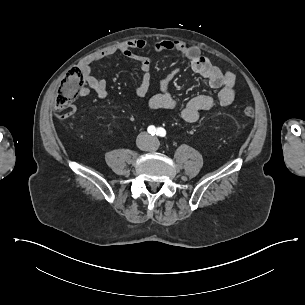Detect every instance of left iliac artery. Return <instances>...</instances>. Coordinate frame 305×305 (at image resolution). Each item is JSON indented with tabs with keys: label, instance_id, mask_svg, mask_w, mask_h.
I'll return each mask as SVG.
<instances>
[{
	"label": "left iliac artery",
	"instance_id": "44dca946",
	"mask_svg": "<svg viewBox=\"0 0 305 305\" xmlns=\"http://www.w3.org/2000/svg\"><path fill=\"white\" fill-rule=\"evenodd\" d=\"M156 134L158 136L164 137L166 135V131L163 128H158Z\"/></svg>",
	"mask_w": 305,
	"mask_h": 305
}]
</instances>
